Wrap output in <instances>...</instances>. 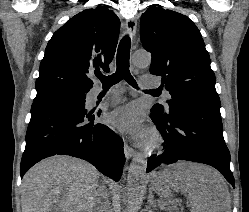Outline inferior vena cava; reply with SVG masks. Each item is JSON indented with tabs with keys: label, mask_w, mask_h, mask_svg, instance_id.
<instances>
[{
	"label": "inferior vena cava",
	"mask_w": 249,
	"mask_h": 212,
	"mask_svg": "<svg viewBox=\"0 0 249 212\" xmlns=\"http://www.w3.org/2000/svg\"><path fill=\"white\" fill-rule=\"evenodd\" d=\"M104 188L105 186H100L97 192V196H100V198H96L95 200L94 212H111V210H109L108 200H106L107 192Z\"/></svg>",
	"instance_id": "obj_1"
}]
</instances>
